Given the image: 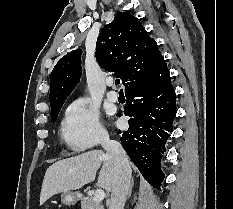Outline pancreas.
Returning a JSON list of instances; mask_svg holds the SVG:
<instances>
[{"label":"pancreas","mask_w":233,"mask_h":209,"mask_svg":"<svg viewBox=\"0 0 233 209\" xmlns=\"http://www.w3.org/2000/svg\"><path fill=\"white\" fill-rule=\"evenodd\" d=\"M81 209H104L101 202H96L93 198L83 196L81 198Z\"/></svg>","instance_id":"1"}]
</instances>
